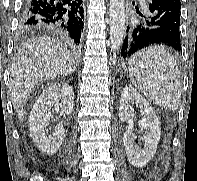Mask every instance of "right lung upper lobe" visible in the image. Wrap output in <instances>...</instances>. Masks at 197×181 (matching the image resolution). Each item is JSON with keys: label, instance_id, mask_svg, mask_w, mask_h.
Wrapping results in <instances>:
<instances>
[{"label": "right lung upper lobe", "instance_id": "right-lung-upper-lobe-1", "mask_svg": "<svg viewBox=\"0 0 197 181\" xmlns=\"http://www.w3.org/2000/svg\"><path fill=\"white\" fill-rule=\"evenodd\" d=\"M43 28H41V27H35V26H33V27H24L23 28V30H25V31H36V30H42Z\"/></svg>", "mask_w": 197, "mask_h": 181}]
</instances>
